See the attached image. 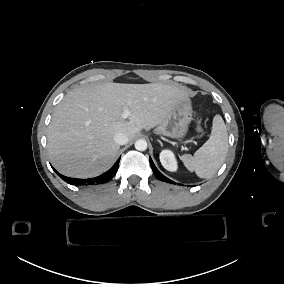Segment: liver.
<instances>
[{
  "instance_id": "1",
  "label": "liver",
  "mask_w": 284,
  "mask_h": 284,
  "mask_svg": "<svg viewBox=\"0 0 284 284\" xmlns=\"http://www.w3.org/2000/svg\"><path fill=\"white\" fill-rule=\"evenodd\" d=\"M188 98L176 84L105 83L82 86L57 105L48 130V152L60 173L90 178L113 164L119 144L114 135L132 141L142 129L150 130ZM131 115L122 119L124 109Z\"/></svg>"
}]
</instances>
